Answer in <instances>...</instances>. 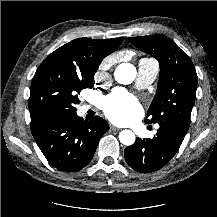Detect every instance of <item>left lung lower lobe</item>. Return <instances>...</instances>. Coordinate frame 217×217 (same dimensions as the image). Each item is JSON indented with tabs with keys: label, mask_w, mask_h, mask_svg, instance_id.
I'll return each mask as SVG.
<instances>
[{
	"label": "left lung lower lobe",
	"mask_w": 217,
	"mask_h": 217,
	"mask_svg": "<svg viewBox=\"0 0 217 217\" xmlns=\"http://www.w3.org/2000/svg\"><path fill=\"white\" fill-rule=\"evenodd\" d=\"M153 139L141 140L124 150L127 164L142 173L157 171L166 165L178 151L188 128L175 122L160 123Z\"/></svg>",
	"instance_id": "left-lung-lower-lobe-1"
}]
</instances>
